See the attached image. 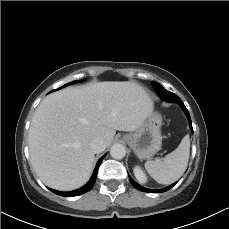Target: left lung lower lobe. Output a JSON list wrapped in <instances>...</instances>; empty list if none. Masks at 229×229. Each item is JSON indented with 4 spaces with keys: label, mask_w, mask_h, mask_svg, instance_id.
<instances>
[{
    "label": "left lung lower lobe",
    "mask_w": 229,
    "mask_h": 229,
    "mask_svg": "<svg viewBox=\"0 0 229 229\" xmlns=\"http://www.w3.org/2000/svg\"><path fill=\"white\" fill-rule=\"evenodd\" d=\"M178 103L181 105L182 109H183L184 112L186 113V115H187V117H188V120H189L190 127L192 128L191 118H190V115H189V112H188L187 108L185 107V105L183 104V102H182L181 100H180ZM129 179H130L131 184H132L136 189H138V190H140V191L152 192V193L165 192V191L171 189V188L176 184V183H174V184H172V185H170V186H168V187H166V188H164V189H160V190H150V189H146V188L140 186L139 184H137V183L131 178L130 175H129Z\"/></svg>",
    "instance_id": "0a47b994"
}]
</instances>
